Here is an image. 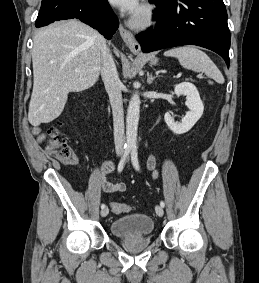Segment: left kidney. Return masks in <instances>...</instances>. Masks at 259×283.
<instances>
[{
  "label": "left kidney",
  "mask_w": 259,
  "mask_h": 283,
  "mask_svg": "<svg viewBox=\"0 0 259 283\" xmlns=\"http://www.w3.org/2000/svg\"><path fill=\"white\" fill-rule=\"evenodd\" d=\"M174 92L177 96H186V105L189 111L181 122H175L170 113L164 115L165 122L170 130L175 134H184L188 132L196 122L201 118L204 105L200 99L199 92L195 85L189 82H183L175 86Z\"/></svg>",
  "instance_id": "left-kidney-1"
}]
</instances>
